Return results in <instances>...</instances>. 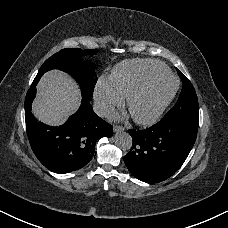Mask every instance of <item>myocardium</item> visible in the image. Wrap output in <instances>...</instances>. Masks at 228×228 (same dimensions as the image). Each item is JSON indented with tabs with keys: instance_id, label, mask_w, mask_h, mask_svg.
Segmentation results:
<instances>
[{
	"instance_id": "1",
	"label": "myocardium",
	"mask_w": 228,
	"mask_h": 228,
	"mask_svg": "<svg viewBox=\"0 0 228 228\" xmlns=\"http://www.w3.org/2000/svg\"><path fill=\"white\" fill-rule=\"evenodd\" d=\"M164 79H173L175 80L176 84L172 91L169 93V95L160 103V105L156 108V110L148 117V118H140L136 116L133 111H132V104L133 102L140 97L152 84L159 80H164ZM177 88V80L169 75H163V76H156L147 79L144 81L139 87H137L127 98V108L128 110L133 114V117L135 121L140 124V125H145V126H150L153 125L158 118L161 116L165 108L168 106L170 101L172 100L175 91Z\"/></svg>"
}]
</instances>
